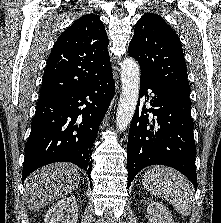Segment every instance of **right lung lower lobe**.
<instances>
[{
  "instance_id": "1",
  "label": "right lung lower lobe",
  "mask_w": 221,
  "mask_h": 223,
  "mask_svg": "<svg viewBox=\"0 0 221 223\" xmlns=\"http://www.w3.org/2000/svg\"><path fill=\"white\" fill-rule=\"evenodd\" d=\"M114 92L110 69L72 92L38 103L25 145L23 181L37 168L53 162L74 163L90 177L91 148Z\"/></svg>"
}]
</instances>
